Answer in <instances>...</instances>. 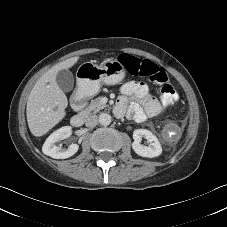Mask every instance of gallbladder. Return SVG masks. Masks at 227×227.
I'll list each match as a JSON object with an SVG mask.
<instances>
[{
    "instance_id": "obj_1",
    "label": "gallbladder",
    "mask_w": 227,
    "mask_h": 227,
    "mask_svg": "<svg viewBox=\"0 0 227 227\" xmlns=\"http://www.w3.org/2000/svg\"><path fill=\"white\" fill-rule=\"evenodd\" d=\"M56 81L60 89L69 92L74 86V77L71 71L64 69L57 73Z\"/></svg>"
}]
</instances>
